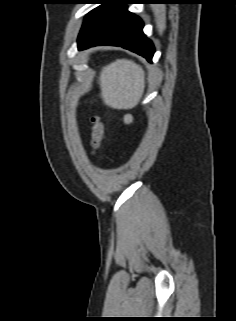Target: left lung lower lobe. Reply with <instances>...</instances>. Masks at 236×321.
<instances>
[{
  "instance_id": "obj_1",
  "label": "left lung lower lobe",
  "mask_w": 236,
  "mask_h": 321,
  "mask_svg": "<svg viewBox=\"0 0 236 321\" xmlns=\"http://www.w3.org/2000/svg\"><path fill=\"white\" fill-rule=\"evenodd\" d=\"M136 0H93L101 4L89 12L78 36V49L97 45L120 46L133 51L149 62L154 46L143 33L142 20L127 10L126 4Z\"/></svg>"
}]
</instances>
